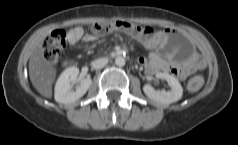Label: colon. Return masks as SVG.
I'll list each match as a JSON object with an SVG mask.
<instances>
[{
    "label": "colon",
    "instance_id": "obj_1",
    "mask_svg": "<svg viewBox=\"0 0 238 145\" xmlns=\"http://www.w3.org/2000/svg\"><path fill=\"white\" fill-rule=\"evenodd\" d=\"M94 36H103L113 32H123L139 40L143 45L151 42L157 32L147 26H140L131 22L116 20L112 22L96 23L92 26ZM67 45V34L62 29L52 31L43 41L42 52L49 63L57 62L64 53ZM203 86V78L195 76L188 82L190 91H198Z\"/></svg>",
    "mask_w": 238,
    "mask_h": 145
}]
</instances>
